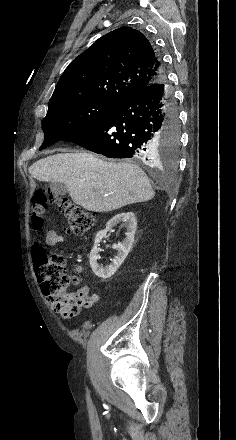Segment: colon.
I'll return each instance as SVG.
<instances>
[{
  "instance_id": "obj_1",
  "label": "colon",
  "mask_w": 236,
  "mask_h": 440,
  "mask_svg": "<svg viewBox=\"0 0 236 440\" xmlns=\"http://www.w3.org/2000/svg\"><path fill=\"white\" fill-rule=\"evenodd\" d=\"M51 201L57 203L59 210L65 216L69 233L82 235L95 226L96 218L93 213L53 193L37 190L31 200V222L36 232L43 228L44 212ZM36 270L42 280V291L48 300L55 305L65 318L73 317L78 312L81 301L72 297L67 291V288L76 280L67 273L64 255L55 252L47 256L43 251Z\"/></svg>"
}]
</instances>
